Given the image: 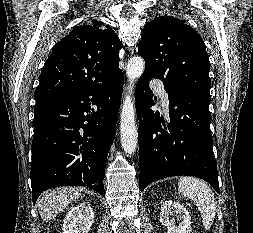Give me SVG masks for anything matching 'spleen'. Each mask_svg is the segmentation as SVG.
<instances>
[{"mask_svg":"<svg viewBox=\"0 0 253 233\" xmlns=\"http://www.w3.org/2000/svg\"><path fill=\"white\" fill-rule=\"evenodd\" d=\"M179 192L196 203L204 228L209 229L215 219L217 202L208 185L194 177L184 176L178 182Z\"/></svg>","mask_w":253,"mask_h":233,"instance_id":"3e777b00","label":"spleen"}]
</instances>
